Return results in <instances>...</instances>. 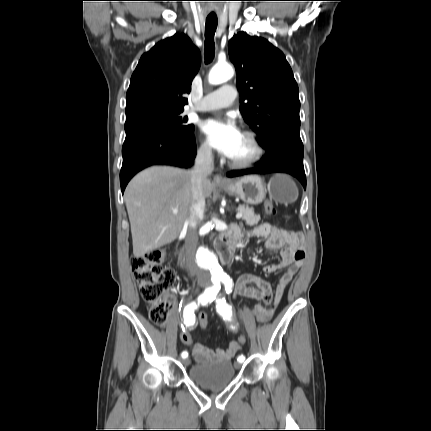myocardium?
<instances>
[{
  "mask_svg": "<svg viewBox=\"0 0 431 431\" xmlns=\"http://www.w3.org/2000/svg\"><path fill=\"white\" fill-rule=\"evenodd\" d=\"M252 145L253 153L250 157L242 160H234L229 158V164L235 168H247L260 162L265 155V148L259 139L258 135L251 130H245L242 133Z\"/></svg>",
  "mask_w": 431,
  "mask_h": 431,
  "instance_id": "1",
  "label": "myocardium"
}]
</instances>
